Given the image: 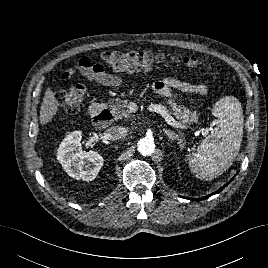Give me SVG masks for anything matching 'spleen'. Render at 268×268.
<instances>
[{
	"instance_id": "3e777b00",
	"label": "spleen",
	"mask_w": 268,
	"mask_h": 268,
	"mask_svg": "<svg viewBox=\"0 0 268 268\" xmlns=\"http://www.w3.org/2000/svg\"><path fill=\"white\" fill-rule=\"evenodd\" d=\"M212 114L217 126L188 158L191 171L203 180H212L232 165L241 147L244 116L239 100L233 96L220 98Z\"/></svg>"
}]
</instances>
